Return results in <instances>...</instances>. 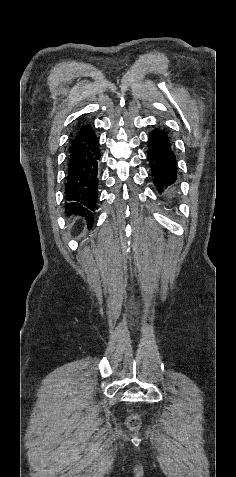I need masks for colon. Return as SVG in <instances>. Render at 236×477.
<instances>
[{
	"instance_id": "obj_1",
	"label": "colon",
	"mask_w": 236,
	"mask_h": 477,
	"mask_svg": "<svg viewBox=\"0 0 236 477\" xmlns=\"http://www.w3.org/2000/svg\"><path fill=\"white\" fill-rule=\"evenodd\" d=\"M128 423H129L130 427L135 428L139 424V419L136 416H131L128 419Z\"/></svg>"
}]
</instances>
